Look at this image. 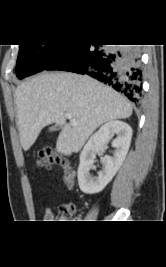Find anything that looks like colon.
I'll return each instance as SVG.
<instances>
[{"label":"colon","instance_id":"1","mask_svg":"<svg viewBox=\"0 0 166 267\" xmlns=\"http://www.w3.org/2000/svg\"><path fill=\"white\" fill-rule=\"evenodd\" d=\"M55 163L63 166L66 184L68 185L73 182L75 171L70 158L50 148L40 152L39 159L37 160L38 168L45 170ZM58 210L61 218L66 219L75 214L76 206L73 203H64L59 206Z\"/></svg>","mask_w":166,"mask_h":267}]
</instances>
